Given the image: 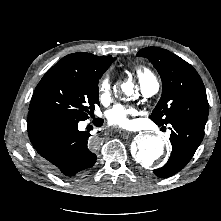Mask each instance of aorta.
<instances>
[{
  "instance_id": "aorta-1",
  "label": "aorta",
  "mask_w": 221,
  "mask_h": 221,
  "mask_svg": "<svg viewBox=\"0 0 221 221\" xmlns=\"http://www.w3.org/2000/svg\"><path fill=\"white\" fill-rule=\"evenodd\" d=\"M133 87L130 81L122 84V90L128 96L134 93ZM164 153L165 141L160 136L143 135L136 139V149L133 154L139 165L151 167Z\"/></svg>"
}]
</instances>
